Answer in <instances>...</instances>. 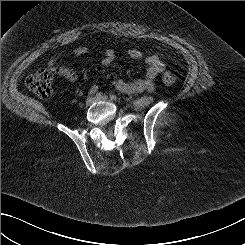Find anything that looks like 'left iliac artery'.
Segmentation results:
<instances>
[{
  "mask_svg": "<svg viewBox=\"0 0 245 245\" xmlns=\"http://www.w3.org/2000/svg\"><path fill=\"white\" fill-rule=\"evenodd\" d=\"M109 96H110L111 100H117V96L116 95L110 94Z\"/></svg>",
  "mask_w": 245,
  "mask_h": 245,
  "instance_id": "1",
  "label": "left iliac artery"
}]
</instances>
